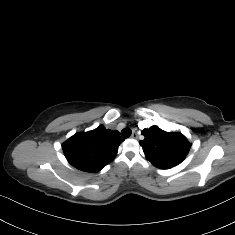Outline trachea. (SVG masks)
<instances>
[{
    "label": "trachea",
    "mask_w": 235,
    "mask_h": 235,
    "mask_svg": "<svg viewBox=\"0 0 235 235\" xmlns=\"http://www.w3.org/2000/svg\"><path fill=\"white\" fill-rule=\"evenodd\" d=\"M132 134V131L130 128H125L121 131V136L123 138H128Z\"/></svg>",
    "instance_id": "obj_1"
}]
</instances>
